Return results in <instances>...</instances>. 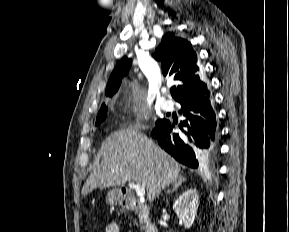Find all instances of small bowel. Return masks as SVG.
<instances>
[{
	"label": "small bowel",
	"instance_id": "obj_1",
	"mask_svg": "<svg viewBox=\"0 0 289 232\" xmlns=\"http://www.w3.org/2000/svg\"><path fill=\"white\" fill-rule=\"evenodd\" d=\"M119 226L116 223H110L106 226L105 232H119Z\"/></svg>",
	"mask_w": 289,
	"mask_h": 232
}]
</instances>
